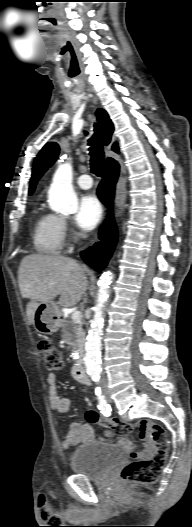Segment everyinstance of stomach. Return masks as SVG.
Wrapping results in <instances>:
<instances>
[{"mask_svg":"<svg viewBox=\"0 0 192 527\" xmlns=\"http://www.w3.org/2000/svg\"><path fill=\"white\" fill-rule=\"evenodd\" d=\"M61 313L53 301L40 303L35 311L34 326L41 334L57 332L61 326Z\"/></svg>","mask_w":192,"mask_h":527,"instance_id":"obj_1","label":"stomach"}]
</instances>
